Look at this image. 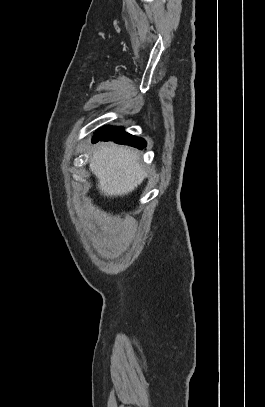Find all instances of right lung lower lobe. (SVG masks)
Listing matches in <instances>:
<instances>
[{
	"instance_id": "obj_1",
	"label": "right lung lower lobe",
	"mask_w": 265,
	"mask_h": 407,
	"mask_svg": "<svg viewBox=\"0 0 265 407\" xmlns=\"http://www.w3.org/2000/svg\"><path fill=\"white\" fill-rule=\"evenodd\" d=\"M98 140L114 141L115 143L133 146L138 149L146 147L144 139L126 133L122 127H113L106 132L95 135L92 142L95 143Z\"/></svg>"
}]
</instances>
